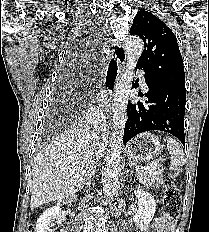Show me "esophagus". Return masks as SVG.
Masks as SVG:
<instances>
[{
    "label": "esophagus",
    "mask_w": 209,
    "mask_h": 232,
    "mask_svg": "<svg viewBox=\"0 0 209 232\" xmlns=\"http://www.w3.org/2000/svg\"><path fill=\"white\" fill-rule=\"evenodd\" d=\"M111 44L112 53L107 66L109 81L106 83V85L108 88L114 89L121 74L122 68L125 65L126 50L122 44L115 40H113Z\"/></svg>",
    "instance_id": "esophagus-1"
}]
</instances>
